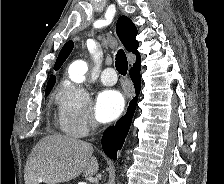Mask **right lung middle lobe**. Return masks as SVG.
Wrapping results in <instances>:
<instances>
[{"instance_id": "1", "label": "right lung middle lobe", "mask_w": 224, "mask_h": 184, "mask_svg": "<svg viewBox=\"0 0 224 184\" xmlns=\"http://www.w3.org/2000/svg\"><path fill=\"white\" fill-rule=\"evenodd\" d=\"M51 89L45 90V95L47 96L50 93Z\"/></svg>"}]
</instances>
